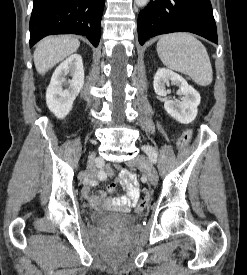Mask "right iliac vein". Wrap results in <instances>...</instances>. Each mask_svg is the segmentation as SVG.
Masks as SVG:
<instances>
[{"label":"right iliac vein","instance_id":"right-iliac-vein-1","mask_svg":"<svg viewBox=\"0 0 247 275\" xmlns=\"http://www.w3.org/2000/svg\"><path fill=\"white\" fill-rule=\"evenodd\" d=\"M93 159L94 155H91L88 161L87 169H86V174L90 177L93 178L95 175V169L93 166Z\"/></svg>","mask_w":247,"mask_h":275}]
</instances>
